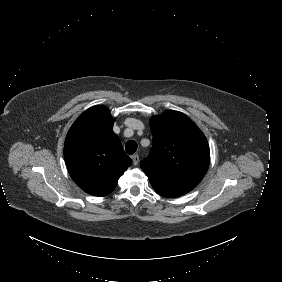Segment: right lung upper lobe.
I'll use <instances>...</instances> for the list:
<instances>
[{
    "label": "right lung upper lobe",
    "mask_w": 282,
    "mask_h": 282,
    "mask_svg": "<svg viewBox=\"0 0 282 282\" xmlns=\"http://www.w3.org/2000/svg\"><path fill=\"white\" fill-rule=\"evenodd\" d=\"M114 121L106 106H93L76 119L65 139L64 157L72 179L94 196L111 193L132 163L113 132Z\"/></svg>",
    "instance_id": "right-lung-upper-lobe-1"
}]
</instances>
